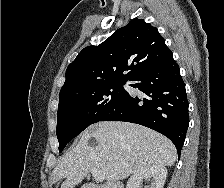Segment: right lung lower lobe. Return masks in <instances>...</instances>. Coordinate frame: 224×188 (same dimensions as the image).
<instances>
[{"label":"right lung lower lobe","instance_id":"98d812e1","mask_svg":"<svg viewBox=\"0 0 224 188\" xmlns=\"http://www.w3.org/2000/svg\"><path fill=\"white\" fill-rule=\"evenodd\" d=\"M132 86L143 96L126 98L100 121H125L151 128L175 145L178 157L189 125L185 84L172 54L135 76Z\"/></svg>","mask_w":224,"mask_h":188}]
</instances>
